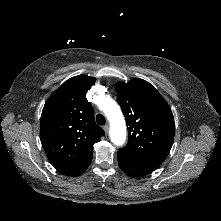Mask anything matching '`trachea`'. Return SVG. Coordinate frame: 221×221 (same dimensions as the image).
<instances>
[{"label":"trachea","instance_id":"obj_1","mask_svg":"<svg viewBox=\"0 0 221 221\" xmlns=\"http://www.w3.org/2000/svg\"><path fill=\"white\" fill-rule=\"evenodd\" d=\"M96 122H97L99 125L103 126V125H105V123H106V119H105V117H104L102 114H98V115L96 116Z\"/></svg>","mask_w":221,"mask_h":221}]
</instances>
